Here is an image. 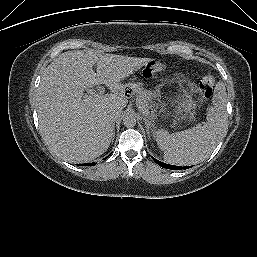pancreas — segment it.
Listing matches in <instances>:
<instances>
[{"mask_svg":"<svg viewBox=\"0 0 257 257\" xmlns=\"http://www.w3.org/2000/svg\"><path fill=\"white\" fill-rule=\"evenodd\" d=\"M154 94L149 90H139L137 91V106L141 109H151L152 114H155L156 110L153 108L156 106L153 102ZM191 119H195L194 115L190 117Z\"/></svg>","mask_w":257,"mask_h":257,"instance_id":"pancreas-1","label":"pancreas"}]
</instances>
